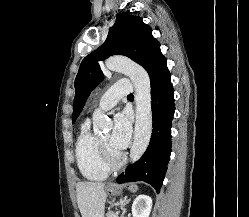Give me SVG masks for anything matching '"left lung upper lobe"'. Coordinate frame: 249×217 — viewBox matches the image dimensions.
<instances>
[{
	"label": "left lung upper lobe",
	"instance_id": "obj_1",
	"mask_svg": "<svg viewBox=\"0 0 249 217\" xmlns=\"http://www.w3.org/2000/svg\"><path fill=\"white\" fill-rule=\"evenodd\" d=\"M115 54L127 56L137 62L145 68L149 76L165 59L160 51L159 42L152 36V29L143 23L142 17L129 13L117 14L106 41L81 62L75 79L73 122L82 111L91 91L103 79L98 61Z\"/></svg>",
	"mask_w": 249,
	"mask_h": 217
}]
</instances>
